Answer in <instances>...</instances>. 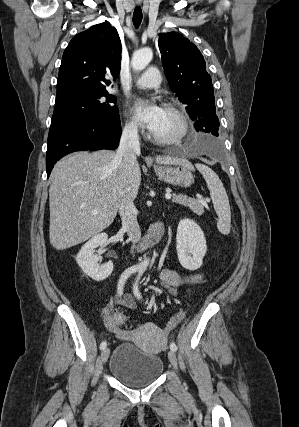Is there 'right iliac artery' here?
<instances>
[{"instance_id":"82829eb1","label":"right iliac artery","mask_w":299,"mask_h":427,"mask_svg":"<svg viewBox=\"0 0 299 427\" xmlns=\"http://www.w3.org/2000/svg\"><path fill=\"white\" fill-rule=\"evenodd\" d=\"M137 271H139V268H138V267H136V266H132V267H129L128 269H126V270L122 273V275H121V277H120V279H119V281H118V285H117V294H118V296H121V295H122V293H123V288H124V284H125L126 280L128 279V277H129L131 274H133V273H135V272H137ZM106 346H107L106 341H103V342L100 344V349L102 350V349H104Z\"/></svg>"}]
</instances>
